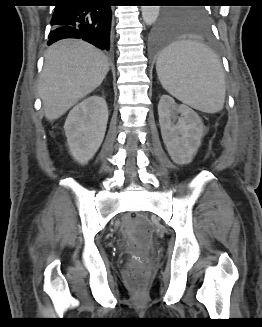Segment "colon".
<instances>
[{
    "instance_id": "obj_1",
    "label": "colon",
    "mask_w": 262,
    "mask_h": 327,
    "mask_svg": "<svg viewBox=\"0 0 262 327\" xmlns=\"http://www.w3.org/2000/svg\"><path fill=\"white\" fill-rule=\"evenodd\" d=\"M126 234L131 242L136 246H145L149 243L152 236V228L147 218L143 216H132L124 226ZM130 284L134 291L141 294L144 284L137 275H130Z\"/></svg>"
}]
</instances>
